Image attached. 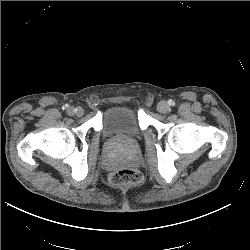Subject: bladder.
<instances>
[{"label": "bladder", "instance_id": "obj_1", "mask_svg": "<svg viewBox=\"0 0 250 250\" xmlns=\"http://www.w3.org/2000/svg\"><path fill=\"white\" fill-rule=\"evenodd\" d=\"M101 133L107 139L123 136L139 138L141 129L137 111L125 104L109 106L102 115Z\"/></svg>", "mask_w": 250, "mask_h": 250}]
</instances>
